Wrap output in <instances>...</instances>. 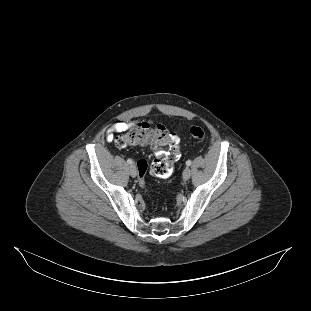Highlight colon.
Segmentation results:
<instances>
[{"label":"colon","mask_w":311,"mask_h":311,"mask_svg":"<svg viewBox=\"0 0 311 311\" xmlns=\"http://www.w3.org/2000/svg\"><path fill=\"white\" fill-rule=\"evenodd\" d=\"M190 135L196 141H202L205 138L204 130L198 126L191 127ZM116 145L119 148L149 146L155 150L156 157L152 162L151 170L159 178H168L172 174L173 162L179 157L174 134L160 124L150 126L146 123H136L116 139ZM137 168L140 186L144 188L148 162L140 159L137 162Z\"/></svg>","instance_id":"5ec220e1"}]
</instances>
